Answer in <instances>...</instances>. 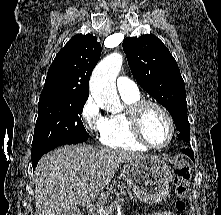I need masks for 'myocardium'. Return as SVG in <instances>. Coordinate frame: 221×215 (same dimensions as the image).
<instances>
[{"mask_svg":"<svg viewBox=\"0 0 221 215\" xmlns=\"http://www.w3.org/2000/svg\"><path fill=\"white\" fill-rule=\"evenodd\" d=\"M149 106H153V107L159 109L164 114V116L167 118V120L169 122V126H170L169 138L165 144L160 145V146H156V145L152 144L146 138V136L143 132V128H142L143 114H144L145 109ZM128 114H129V120H130V125H131L133 135L140 143H142L146 147H148L150 149H154V150L165 149L166 147H168L171 144V142L175 136L176 126H175V122H174L172 115L170 114V112L168 111V109L164 105H162L161 103L154 101V100L140 99V100L134 102L129 107Z\"/></svg>","mask_w":221,"mask_h":215,"instance_id":"f54148a6","label":"myocardium"}]
</instances>
